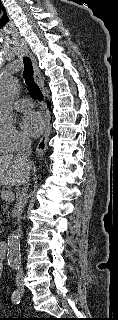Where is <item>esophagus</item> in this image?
<instances>
[{
	"label": "esophagus",
	"mask_w": 118,
	"mask_h": 320,
	"mask_svg": "<svg viewBox=\"0 0 118 320\" xmlns=\"http://www.w3.org/2000/svg\"><path fill=\"white\" fill-rule=\"evenodd\" d=\"M28 55H29V57H30V59L32 61V64H33L34 78L37 81V83L41 87H43L44 86V80H43L41 72H40V70L38 68L37 60H36V58L34 57V55L32 53L29 52ZM50 131H51L50 115H49V113H47L46 116H45V131H44V134L41 137L39 143L37 144L36 151H35L36 157H39L40 155H42L43 152L45 151V149L47 148V142H48V138H49V135H50Z\"/></svg>",
	"instance_id": "1"
}]
</instances>
